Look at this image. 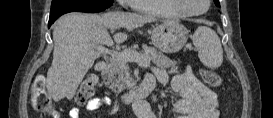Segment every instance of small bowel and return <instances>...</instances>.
<instances>
[{
    "instance_id": "c3829d8e",
    "label": "small bowel",
    "mask_w": 273,
    "mask_h": 118,
    "mask_svg": "<svg viewBox=\"0 0 273 118\" xmlns=\"http://www.w3.org/2000/svg\"><path fill=\"white\" fill-rule=\"evenodd\" d=\"M145 79L158 80L163 85H170L172 90L179 94V99L174 104L177 118H218L219 102L214 91L205 86L193 74L189 67L182 72L169 77L168 73L155 68L152 73L145 76ZM111 104L109 97H95L85 106L88 111H95L102 105ZM135 112L138 118H156L146 104H136ZM80 109L77 107L69 111L70 118H78Z\"/></svg>"
}]
</instances>
